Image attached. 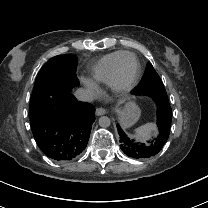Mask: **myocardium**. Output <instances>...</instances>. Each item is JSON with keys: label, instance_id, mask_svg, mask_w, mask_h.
<instances>
[{"label": "myocardium", "instance_id": "f54148a6", "mask_svg": "<svg viewBox=\"0 0 208 208\" xmlns=\"http://www.w3.org/2000/svg\"><path fill=\"white\" fill-rule=\"evenodd\" d=\"M135 65V70L131 76H126V71ZM141 75V63L137 57H133L124 61L117 69L113 81V86L116 91L125 92L131 90L138 82Z\"/></svg>", "mask_w": 208, "mask_h": 208}]
</instances>
